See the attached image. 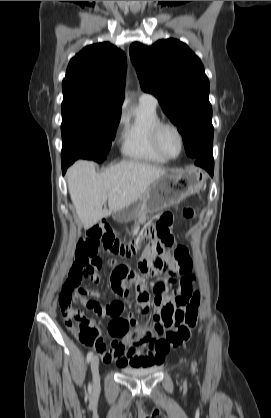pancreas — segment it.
Listing matches in <instances>:
<instances>
[{"label": "pancreas", "instance_id": "1", "mask_svg": "<svg viewBox=\"0 0 271 418\" xmlns=\"http://www.w3.org/2000/svg\"><path fill=\"white\" fill-rule=\"evenodd\" d=\"M146 212L145 211H142V212H140L138 215H137V219H138V222L139 223H145V221H146Z\"/></svg>", "mask_w": 271, "mask_h": 418}]
</instances>
